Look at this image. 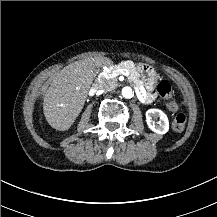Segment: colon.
Segmentation results:
<instances>
[{"mask_svg": "<svg viewBox=\"0 0 217 217\" xmlns=\"http://www.w3.org/2000/svg\"><path fill=\"white\" fill-rule=\"evenodd\" d=\"M157 92L166 106L176 111L173 118L172 127L175 131H182L185 128L187 115L184 110H177V105L172 98V85L168 80H161L157 85Z\"/></svg>", "mask_w": 217, "mask_h": 217, "instance_id": "1", "label": "colon"}]
</instances>
